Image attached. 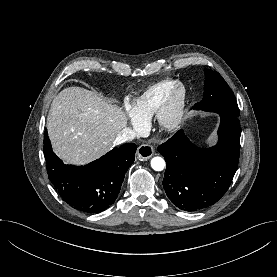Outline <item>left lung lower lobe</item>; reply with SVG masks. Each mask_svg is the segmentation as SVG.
<instances>
[{
  "label": "left lung lower lobe",
  "instance_id": "left-lung-lower-lobe-1",
  "mask_svg": "<svg viewBox=\"0 0 277 277\" xmlns=\"http://www.w3.org/2000/svg\"><path fill=\"white\" fill-rule=\"evenodd\" d=\"M220 114L219 140L203 149L194 145L183 130L158 147L167 167L163 186L171 202L194 212L219 200L228 190L237 170L240 149L238 117Z\"/></svg>",
  "mask_w": 277,
  "mask_h": 277
}]
</instances>
